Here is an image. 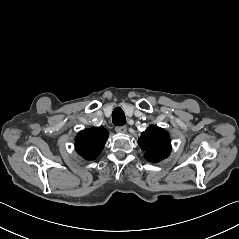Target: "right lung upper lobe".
<instances>
[{"label": "right lung upper lobe", "mask_w": 239, "mask_h": 239, "mask_svg": "<svg viewBox=\"0 0 239 239\" xmlns=\"http://www.w3.org/2000/svg\"><path fill=\"white\" fill-rule=\"evenodd\" d=\"M108 131L103 127H93L79 132L75 138V148L86 160L95 159L104 148Z\"/></svg>", "instance_id": "obj_1"}]
</instances>
